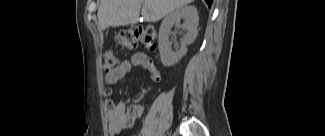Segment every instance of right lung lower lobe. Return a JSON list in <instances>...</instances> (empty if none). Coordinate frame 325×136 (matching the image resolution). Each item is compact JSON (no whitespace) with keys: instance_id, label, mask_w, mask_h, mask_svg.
Listing matches in <instances>:
<instances>
[{"instance_id":"right-lung-lower-lobe-1","label":"right lung lower lobe","mask_w":325,"mask_h":136,"mask_svg":"<svg viewBox=\"0 0 325 136\" xmlns=\"http://www.w3.org/2000/svg\"><path fill=\"white\" fill-rule=\"evenodd\" d=\"M212 1L213 0H205V2L208 4L209 7H211Z\"/></svg>"}]
</instances>
